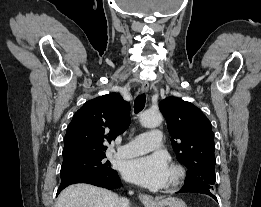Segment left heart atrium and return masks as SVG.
Wrapping results in <instances>:
<instances>
[{"mask_svg":"<svg viewBox=\"0 0 261 207\" xmlns=\"http://www.w3.org/2000/svg\"><path fill=\"white\" fill-rule=\"evenodd\" d=\"M169 168L164 155L155 153L125 162L124 177L133 183L147 188L165 186Z\"/></svg>","mask_w":261,"mask_h":207,"instance_id":"1","label":"left heart atrium"}]
</instances>
